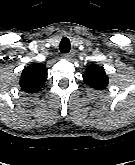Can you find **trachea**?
<instances>
[{
	"mask_svg": "<svg viewBox=\"0 0 135 165\" xmlns=\"http://www.w3.org/2000/svg\"><path fill=\"white\" fill-rule=\"evenodd\" d=\"M71 48L70 40L67 37H63L60 42V52L69 53Z\"/></svg>",
	"mask_w": 135,
	"mask_h": 165,
	"instance_id": "3493384b",
	"label": "trachea"
}]
</instances>
